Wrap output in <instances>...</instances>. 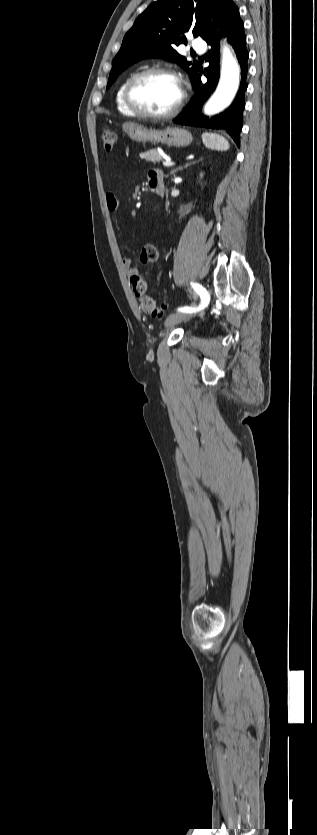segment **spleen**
Returning <instances> with one entry per match:
<instances>
[{"label": "spleen", "instance_id": "1", "mask_svg": "<svg viewBox=\"0 0 317 835\" xmlns=\"http://www.w3.org/2000/svg\"><path fill=\"white\" fill-rule=\"evenodd\" d=\"M202 140L205 146L211 150L226 151L229 149V142L219 134L205 132L202 134Z\"/></svg>", "mask_w": 317, "mask_h": 835}]
</instances>
